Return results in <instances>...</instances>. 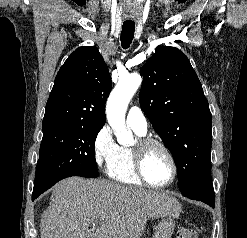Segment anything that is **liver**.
Instances as JSON below:
<instances>
[{
	"label": "liver",
	"mask_w": 247,
	"mask_h": 238,
	"mask_svg": "<svg viewBox=\"0 0 247 238\" xmlns=\"http://www.w3.org/2000/svg\"><path fill=\"white\" fill-rule=\"evenodd\" d=\"M180 211L177 199L160 191L70 177L52 189L41 238H139L148 220Z\"/></svg>",
	"instance_id": "6515ba94"
}]
</instances>
